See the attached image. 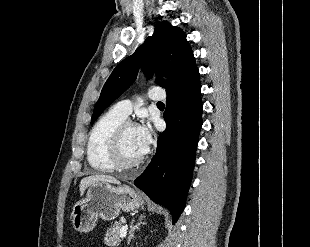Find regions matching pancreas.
Returning <instances> with one entry per match:
<instances>
[{"label": "pancreas", "instance_id": "cf45deb5", "mask_svg": "<svg viewBox=\"0 0 310 247\" xmlns=\"http://www.w3.org/2000/svg\"><path fill=\"white\" fill-rule=\"evenodd\" d=\"M123 227L121 222H116L111 225V227L107 230L104 243L107 246L115 247L120 243V230Z\"/></svg>", "mask_w": 310, "mask_h": 247}]
</instances>
